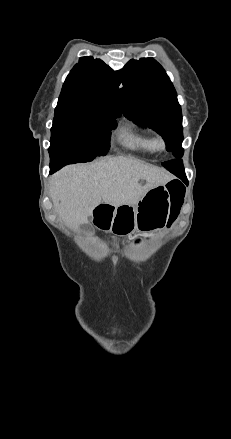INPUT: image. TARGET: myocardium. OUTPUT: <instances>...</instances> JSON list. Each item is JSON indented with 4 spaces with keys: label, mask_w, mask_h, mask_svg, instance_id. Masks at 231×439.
<instances>
[{
    "label": "myocardium",
    "mask_w": 231,
    "mask_h": 439,
    "mask_svg": "<svg viewBox=\"0 0 231 439\" xmlns=\"http://www.w3.org/2000/svg\"><path fill=\"white\" fill-rule=\"evenodd\" d=\"M155 146L157 149H164L166 147V141L162 135H157L155 138Z\"/></svg>",
    "instance_id": "f54148a6"
}]
</instances>
